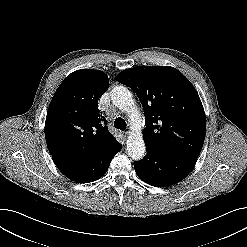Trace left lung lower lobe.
Returning a JSON list of instances; mask_svg holds the SVG:
<instances>
[{
    "label": "left lung lower lobe",
    "mask_w": 247,
    "mask_h": 247,
    "mask_svg": "<svg viewBox=\"0 0 247 247\" xmlns=\"http://www.w3.org/2000/svg\"><path fill=\"white\" fill-rule=\"evenodd\" d=\"M147 154L141 161L134 162L138 177L155 187H166L184 179L193 169L197 159L163 153L146 148Z\"/></svg>",
    "instance_id": "1"
}]
</instances>
